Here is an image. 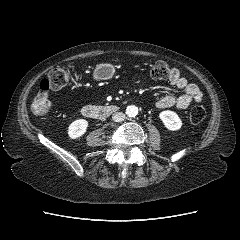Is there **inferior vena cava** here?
<instances>
[{
    "instance_id": "obj_1",
    "label": "inferior vena cava",
    "mask_w": 240,
    "mask_h": 240,
    "mask_svg": "<svg viewBox=\"0 0 240 240\" xmlns=\"http://www.w3.org/2000/svg\"><path fill=\"white\" fill-rule=\"evenodd\" d=\"M125 114L123 112H116L112 115V119L115 122H122L125 119Z\"/></svg>"
}]
</instances>
